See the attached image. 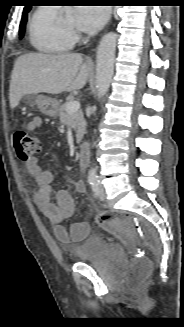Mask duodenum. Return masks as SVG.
<instances>
[{
  "instance_id": "1",
  "label": "duodenum",
  "mask_w": 184,
  "mask_h": 327,
  "mask_svg": "<svg viewBox=\"0 0 184 327\" xmlns=\"http://www.w3.org/2000/svg\"><path fill=\"white\" fill-rule=\"evenodd\" d=\"M79 162L82 168H85L88 162V144L82 142L78 149Z\"/></svg>"
}]
</instances>
